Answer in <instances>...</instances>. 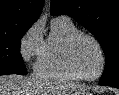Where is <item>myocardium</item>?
Returning a JSON list of instances; mask_svg holds the SVG:
<instances>
[{"instance_id": "1", "label": "myocardium", "mask_w": 119, "mask_h": 95, "mask_svg": "<svg viewBox=\"0 0 119 95\" xmlns=\"http://www.w3.org/2000/svg\"><path fill=\"white\" fill-rule=\"evenodd\" d=\"M80 38H87V39L91 40L99 50L100 57H101V63H100V68H99L98 73L94 76H83V75L79 74L76 71L75 67H74L73 59H72L73 48H74L76 42ZM64 63H65V66H66L67 70L76 79L82 80V81H94V80H97L98 78H100L102 76L104 70H105L106 55H105V51H104L101 43L99 42V40L96 37H94L91 34L79 31V32L73 34L67 40V42L65 44V47H64Z\"/></svg>"}]
</instances>
